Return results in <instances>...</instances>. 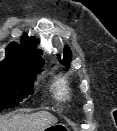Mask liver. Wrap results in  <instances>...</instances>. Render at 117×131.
<instances>
[{
  "label": "liver",
  "mask_w": 117,
  "mask_h": 131,
  "mask_svg": "<svg viewBox=\"0 0 117 131\" xmlns=\"http://www.w3.org/2000/svg\"><path fill=\"white\" fill-rule=\"evenodd\" d=\"M57 119L48 112H39L26 116H15L1 124L0 131H43L53 125Z\"/></svg>",
  "instance_id": "obj_1"
}]
</instances>
